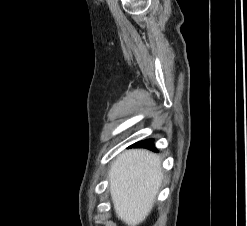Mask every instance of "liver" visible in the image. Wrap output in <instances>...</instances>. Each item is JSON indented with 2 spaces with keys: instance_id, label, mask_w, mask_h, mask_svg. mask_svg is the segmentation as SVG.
Segmentation results:
<instances>
[{
  "instance_id": "1",
  "label": "liver",
  "mask_w": 247,
  "mask_h": 226,
  "mask_svg": "<svg viewBox=\"0 0 247 226\" xmlns=\"http://www.w3.org/2000/svg\"><path fill=\"white\" fill-rule=\"evenodd\" d=\"M158 155L145 149L123 152L108 176L116 215L128 226L142 223L152 210L163 179Z\"/></svg>"
}]
</instances>
